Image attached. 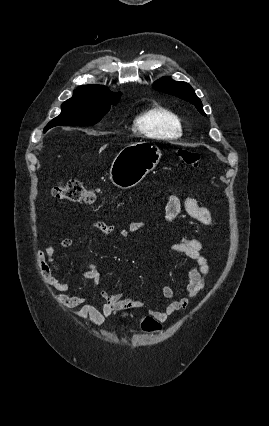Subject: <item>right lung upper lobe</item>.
Masks as SVG:
<instances>
[{
  "instance_id": "obj_1",
  "label": "right lung upper lobe",
  "mask_w": 269,
  "mask_h": 426,
  "mask_svg": "<svg viewBox=\"0 0 269 426\" xmlns=\"http://www.w3.org/2000/svg\"><path fill=\"white\" fill-rule=\"evenodd\" d=\"M75 96L98 97V98H120V94H113L105 86L85 85L74 91Z\"/></svg>"
}]
</instances>
